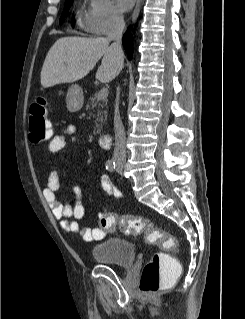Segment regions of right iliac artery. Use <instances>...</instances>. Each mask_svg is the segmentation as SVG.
I'll use <instances>...</instances> for the list:
<instances>
[{
	"instance_id": "1",
	"label": "right iliac artery",
	"mask_w": 245,
	"mask_h": 319,
	"mask_svg": "<svg viewBox=\"0 0 245 319\" xmlns=\"http://www.w3.org/2000/svg\"><path fill=\"white\" fill-rule=\"evenodd\" d=\"M116 168V164L113 160H108L106 162V169L110 172H113Z\"/></svg>"
}]
</instances>
